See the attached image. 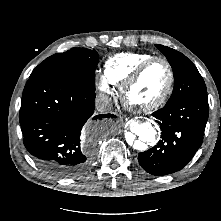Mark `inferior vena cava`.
<instances>
[{
    "label": "inferior vena cava",
    "mask_w": 221,
    "mask_h": 221,
    "mask_svg": "<svg viewBox=\"0 0 221 221\" xmlns=\"http://www.w3.org/2000/svg\"><path fill=\"white\" fill-rule=\"evenodd\" d=\"M112 106V99L107 95H102L95 100V107L99 112L110 111Z\"/></svg>",
    "instance_id": "1"
}]
</instances>
